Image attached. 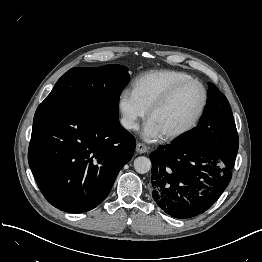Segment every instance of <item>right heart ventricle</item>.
Returning a JSON list of instances; mask_svg holds the SVG:
<instances>
[{
    "label": "right heart ventricle",
    "mask_w": 262,
    "mask_h": 262,
    "mask_svg": "<svg viewBox=\"0 0 262 262\" xmlns=\"http://www.w3.org/2000/svg\"><path fill=\"white\" fill-rule=\"evenodd\" d=\"M192 79L184 72L160 70L138 78L133 85V94L146 110L179 82Z\"/></svg>",
    "instance_id": "1"
}]
</instances>
